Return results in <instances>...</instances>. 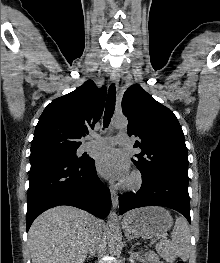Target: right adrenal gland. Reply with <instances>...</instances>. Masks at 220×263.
I'll use <instances>...</instances> for the list:
<instances>
[{"label":"right adrenal gland","instance_id":"obj_1","mask_svg":"<svg viewBox=\"0 0 220 263\" xmlns=\"http://www.w3.org/2000/svg\"><path fill=\"white\" fill-rule=\"evenodd\" d=\"M95 254V252H92V253H90V255L88 256V257H91L92 255H94Z\"/></svg>","mask_w":220,"mask_h":263}]
</instances>
